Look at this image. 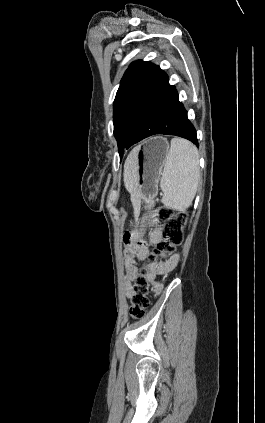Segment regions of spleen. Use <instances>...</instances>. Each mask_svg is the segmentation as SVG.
<instances>
[{
	"instance_id": "obj_1",
	"label": "spleen",
	"mask_w": 265,
	"mask_h": 423,
	"mask_svg": "<svg viewBox=\"0 0 265 423\" xmlns=\"http://www.w3.org/2000/svg\"><path fill=\"white\" fill-rule=\"evenodd\" d=\"M200 179L197 148L189 141L173 138L160 180L162 203L184 211L195 197Z\"/></svg>"
}]
</instances>
